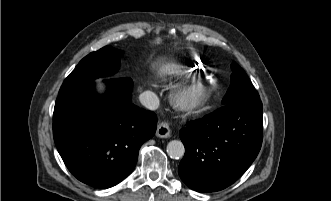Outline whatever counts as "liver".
<instances>
[{"mask_svg":"<svg viewBox=\"0 0 331 201\" xmlns=\"http://www.w3.org/2000/svg\"><path fill=\"white\" fill-rule=\"evenodd\" d=\"M171 69H172V64H170V63H163L161 66H160V71L162 72V73H168V72H170L171 71ZM99 82V81H98Z\"/></svg>","mask_w":331,"mask_h":201,"instance_id":"liver-1","label":"liver"}]
</instances>
